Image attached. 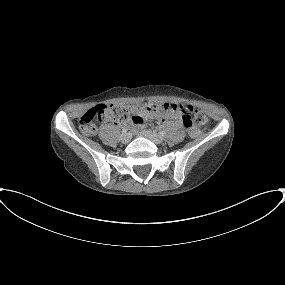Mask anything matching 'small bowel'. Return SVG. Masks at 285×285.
I'll return each mask as SVG.
<instances>
[{"label":"small bowel","mask_w":285,"mask_h":285,"mask_svg":"<svg viewBox=\"0 0 285 285\" xmlns=\"http://www.w3.org/2000/svg\"><path fill=\"white\" fill-rule=\"evenodd\" d=\"M177 106L178 104L176 103H161L159 105L158 111L137 118L135 124L140 128H143L145 126L146 120L150 117H154L159 121L177 120L178 122L184 124L181 113L176 110Z\"/></svg>","instance_id":"c3829d8e"}]
</instances>
